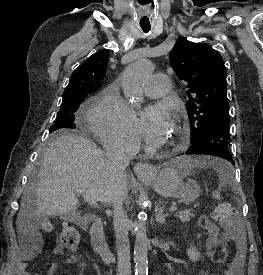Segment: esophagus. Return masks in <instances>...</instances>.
Instances as JSON below:
<instances>
[{
	"mask_svg": "<svg viewBox=\"0 0 263 275\" xmlns=\"http://www.w3.org/2000/svg\"><path fill=\"white\" fill-rule=\"evenodd\" d=\"M153 170L152 164L148 162H139L134 166V172L137 176L143 177L150 174Z\"/></svg>",
	"mask_w": 263,
	"mask_h": 275,
	"instance_id": "34e87169",
	"label": "esophagus"
}]
</instances>
